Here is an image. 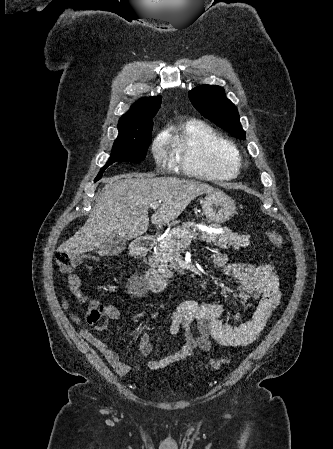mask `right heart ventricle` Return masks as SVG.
Listing matches in <instances>:
<instances>
[{
  "mask_svg": "<svg viewBox=\"0 0 333 449\" xmlns=\"http://www.w3.org/2000/svg\"><path fill=\"white\" fill-rule=\"evenodd\" d=\"M173 166L205 180L238 175L241 158L234 144L214 127L199 121L176 126L165 139Z\"/></svg>",
  "mask_w": 333,
  "mask_h": 449,
  "instance_id": "1",
  "label": "right heart ventricle"
}]
</instances>
